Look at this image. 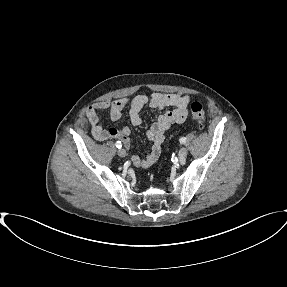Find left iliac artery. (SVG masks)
Returning a JSON list of instances; mask_svg holds the SVG:
<instances>
[{
    "label": "left iliac artery",
    "instance_id": "obj_1",
    "mask_svg": "<svg viewBox=\"0 0 287 287\" xmlns=\"http://www.w3.org/2000/svg\"><path fill=\"white\" fill-rule=\"evenodd\" d=\"M179 141H180V143H181V144H185V142H186V138L181 137V138L179 139Z\"/></svg>",
    "mask_w": 287,
    "mask_h": 287
}]
</instances>
